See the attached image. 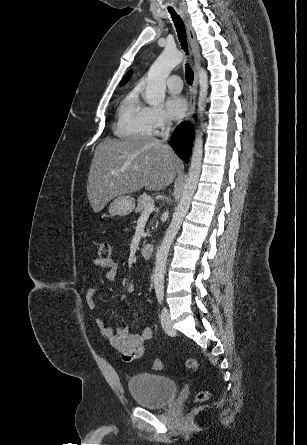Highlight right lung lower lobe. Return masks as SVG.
Segmentation results:
<instances>
[{
	"label": "right lung lower lobe",
	"instance_id": "obj_1",
	"mask_svg": "<svg viewBox=\"0 0 307 445\" xmlns=\"http://www.w3.org/2000/svg\"><path fill=\"white\" fill-rule=\"evenodd\" d=\"M170 143L178 156L187 162L192 146L191 125L188 123H181L177 126L171 136Z\"/></svg>",
	"mask_w": 307,
	"mask_h": 445
}]
</instances>
